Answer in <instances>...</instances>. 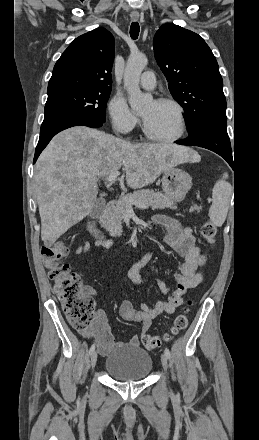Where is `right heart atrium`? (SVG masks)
Instances as JSON below:
<instances>
[{
	"instance_id": "right-heart-atrium-1",
	"label": "right heart atrium",
	"mask_w": 259,
	"mask_h": 440,
	"mask_svg": "<svg viewBox=\"0 0 259 440\" xmlns=\"http://www.w3.org/2000/svg\"><path fill=\"white\" fill-rule=\"evenodd\" d=\"M107 114L112 129L120 134L131 133L140 122L138 116L131 110L126 99L121 95H114L109 100Z\"/></svg>"
}]
</instances>
